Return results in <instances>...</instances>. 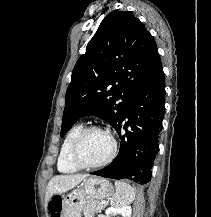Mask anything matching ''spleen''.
<instances>
[{
  "label": "spleen",
  "instance_id": "spleen-1",
  "mask_svg": "<svg viewBox=\"0 0 211 217\" xmlns=\"http://www.w3.org/2000/svg\"><path fill=\"white\" fill-rule=\"evenodd\" d=\"M116 192L111 200V204L115 207L130 204L135 199V190L129 184L123 181H115Z\"/></svg>",
  "mask_w": 211,
  "mask_h": 217
}]
</instances>
